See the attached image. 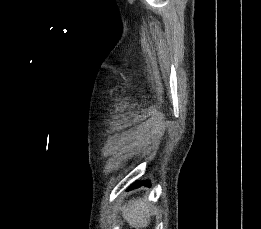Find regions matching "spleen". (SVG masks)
Segmentation results:
<instances>
[{"label": "spleen", "mask_w": 261, "mask_h": 229, "mask_svg": "<svg viewBox=\"0 0 261 229\" xmlns=\"http://www.w3.org/2000/svg\"><path fill=\"white\" fill-rule=\"evenodd\" d=\"M150 211H154L150 203L142 199H132L122 207V215L132 229H143L150 221Z\"/></svg>", "instance_id": "spleen-1"}]
</instances>
